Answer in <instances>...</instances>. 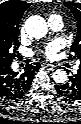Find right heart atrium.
Listing matches in <instances>:
<instances>
[{
	"mask_svg": "<svg viewBox=\"0 0 81 124\" xmlns=\"http://www.w3.org/2000/svg\"><path fill=\"white\" fill-rule=\"evenodd\" d=\"M21 33H24V26H21Z\"/></svg>",
	"mask_w": 81,
	"mask_h": 124,
	"instance_id": "right-heart-atrium-1",
	"label": "right heart atrium"
}]
</instances>
